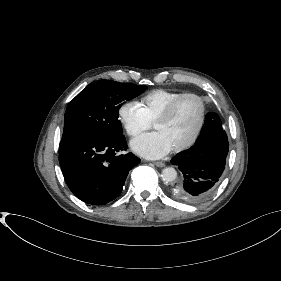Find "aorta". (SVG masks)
I'll use <instances>...</instances> for the list:
<instances>
[{
	"label": "aorta",
	"instance_id": "762f6f07",
	"mask_svg": "<svg viewBox=\"0 0 281 281\" xmlns=\"http://www.w3.org/2000/svg\"><path fill=\"white\" fill-rule=\"evenodd\" d=\"M162 179L167 183L174 182L177 178V171L172 167H166L162 170Z\"/></svg>",
	"mask_w": 281,
	"mask_h": 281
}]
</instances>
